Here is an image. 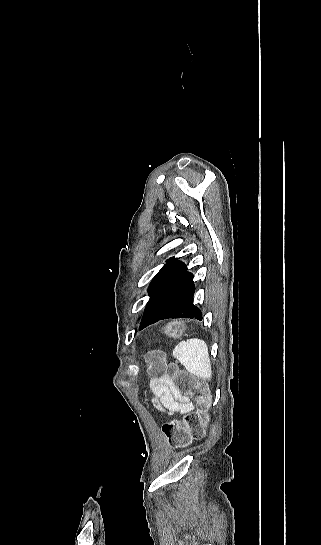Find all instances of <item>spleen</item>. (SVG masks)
I'll list each match as a JSON object with an SVG mask.
<instances>
[{"mask_svg": "<svg viewBox=\"0 0 321 545\" xmlns=\"http://www.w3.org/2000/svg\"><path fill=\"white\" fill-rule=\"evenodd\" d=\"M172 357L178 359L188 373L202 381H211L212 367L208 347L202 339H187L181 341L173 349Z\"/></svg>", "mask_w": 321, "mask_h": 545, "instance_id": "1", "label": "spleen"}]
</instances>
